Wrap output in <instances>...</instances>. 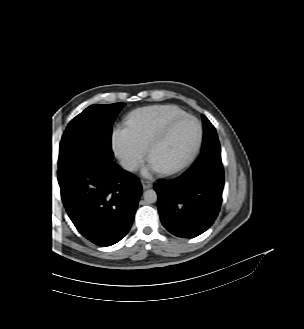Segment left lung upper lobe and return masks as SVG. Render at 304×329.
<instances>
[{"instance_id":"obj_1","label":"left lung upper lobe","mask_w":304,"mask_h":329,"mask_svg":"<svg viewBox=\"0 0 304 329\" xmlns=\"http://www.w3.org/2000/svg\"><path fill=\"white\" fill-rule=\"evenodd\" d=\"M203 119V126H204V137H203V144H202V150L210 144V142L214 139H217V133L214 128V126L211 124V122L202 115Z\"/></svg>"}]
</instances>
